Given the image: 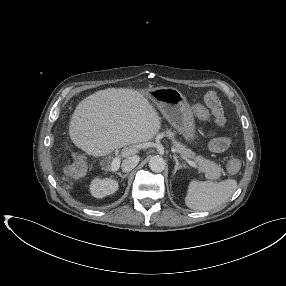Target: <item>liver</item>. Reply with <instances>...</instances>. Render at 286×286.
<instances>
[{"label":"liver","instance_id":"obj_1","mask_svg":"<svg viewBox=\"0 0 286 286\" xmlns=\"http://www.w3.org/2000/svg\"><path fill=\"white\" fill-rule=\"evenodd\" d=\"M160 128L161 119L142 92L107 88L76 106L69 136L88 155L105 156L123 147L121 157L126 158L139 152L131 145L151 140Z\"/></svg>","mask_w":286,"mask_h":286}]
</instances>
